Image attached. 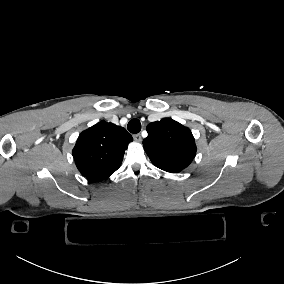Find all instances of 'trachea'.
I'll use <instances>...</instances> for the list:
<instances>
[{"label": "trachea", "mask_w": 284, "mask_h": 284, "mask_svg": "<svg viewBox=\"0 0 284 284\" xmlns=\"http://www.w3.org/2000/svg\"><path fill=\"white\" fill-rule=\"evenodd\" d=\"M127 128L131 133H139L141 131V122L137 118H133L129 121Z\"/></svg>", "instance_id": "3493384b"}]
</instances>
